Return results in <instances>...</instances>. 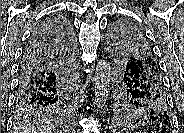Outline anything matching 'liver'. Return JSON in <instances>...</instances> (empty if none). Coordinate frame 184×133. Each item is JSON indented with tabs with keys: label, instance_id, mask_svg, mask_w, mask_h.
<instances>
[{
	"label": "liver",
	"instance_id": "1",
	"mask_svg": "<svg viewBox=\"0 0 184 133\" xmlns=\"http://www.w3.org/2000/svg\"><path fill=\"white\" fill-rule=\"evenodd\" d=\"M24 133H59V129L47 120H36L22 126Z\"/></svg>",
	"mask_w": 184,
	"mask_h": 133
}]
</instances>
